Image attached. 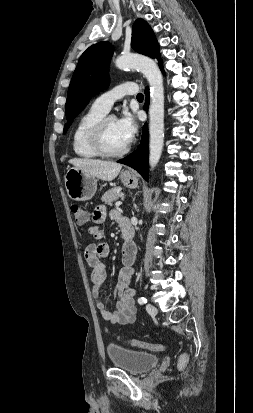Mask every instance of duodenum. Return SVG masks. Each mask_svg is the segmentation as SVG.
Listing matches in <instances>:
<instances>
[{"label":"duodenum","instance_id":"obj_1","mask_svg":"<svg viewBox=\"0 0 253 413\" xmlns=\"http://www.w3.org/2000/svg\"><path fill=\"white\" fill-rule=\"evenodd\" d=\"M121 231H122V237L123 240L126 244H131L132 239H133V229L130 223L127 220H124L121 224Z\"/></svg>","mask_w":253,"mask_h":413}]
</instances>
